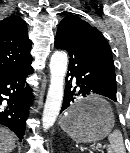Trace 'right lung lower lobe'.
<instances>
[{"instance_id":"98d812e1","label":"right lung lower lobe","mask_w":130,"mask_h":153,"mask_svg":"<svg viewBox=\"0 0 130 153\" xmlns=\"http://www.w3.org/2000/svg\"><path fill=\"white\" fill-rule=\"evenodd\" d=\"M33 71L29 65L0 73V124L11 129L20 140L23 139L29 105L33 101L26 77Z\"/></svg>"}]
</instances>
